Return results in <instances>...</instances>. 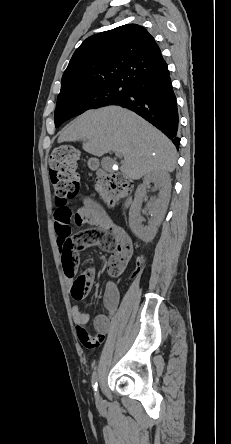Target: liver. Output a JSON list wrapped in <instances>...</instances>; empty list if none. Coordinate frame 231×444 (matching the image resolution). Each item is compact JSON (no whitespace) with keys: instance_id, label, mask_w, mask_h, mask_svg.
Returning <instances> with one entry per match:
<instances>
[{"instance_id":"1","label":"liver","mask_w":231,"mask_h":444,"mask_svg":"<svg viewBox=\"0 0 231 444\" xmlns=\"http://www.w3.org/2000/svg\"><path fill=\"white\" fill-rule=\"evenodd\" d=\"M83 141V149L101 157L120 153L121 172L140 179L154 171L172 172L177 151L173 143L154 126L132 111L119 106L89 110L60 131L58 143Z\"/></svg>"}]
</instances>
